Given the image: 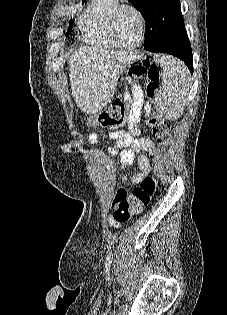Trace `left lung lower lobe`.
<instances>
[{"label": "left lung lower lobe", "instance_id": "0a47b994", "mask_svg": "<svg viewBox=\"0 0 227 315\" xmlns=\"http://www.w3.org/2000/svg\"><path fill=\"white\" fill-rule=\"evenodd\" d=\"M145 49L150 52H160L174 55L183 60L190 71L193 72L192 50L186 31L173 38L167 39L159 45H145Z\"/></svg>", "mask_w": 227, "mask_h": 315}]
</instances>
